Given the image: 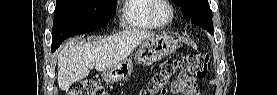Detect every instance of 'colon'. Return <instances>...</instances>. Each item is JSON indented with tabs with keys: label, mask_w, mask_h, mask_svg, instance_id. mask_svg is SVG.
<instances>
[{
	"label": "colon",
	"mask_w": 277,
	"mask_h": 95,
	"mask_svg": "<svg viewBox=\"0 0 277 95\" xmlns=\"http://www.w3.org/2000/svg\"><path fill=\"white\" fill-rule=\"evenodd\" d=\"M176 70H182L196 78L204 77L208 72V56L205 54H187L177 61L168 63L165 68L156 74L142 94H164L169 79ZM68 95H104L105 89L92 80L78 81L72 84Z\"/></svg>",
	"instance_id": "colon-1"
}]
</instances>
